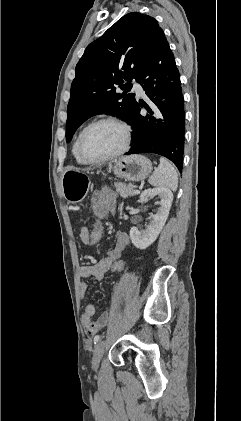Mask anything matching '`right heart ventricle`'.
<instances>
[{"label":"right heart ventricle","instance_id":"e07e8e85","mask_svg":"<svg viewBox=\"0 0 241 421\" xmlns=\"http://www.w3.org/2000/svg\"><path fill=\"white\" fill-rule=\"evenodd\" d=\"M81 132H82V130L79 131V133L77 134V136H76V138H75V140L73 142V145H72V153H73V156H74V158H75V160H76L77 163H79V164H86L81 159V157H80V155L78 153V140H79V137H80Z\"/></svg>","mask_w":241,"mask_h":421}]
</instances>
